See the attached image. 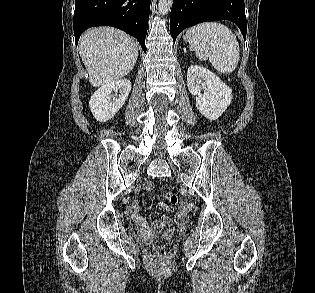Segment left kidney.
<instances>
[{"label":"left kidney","mask_w":315,"mask_h":293,"mask_svg":"<svg viewBox=\"0 0 315 293\" xmlns=\"http://www.w3.org/2000/svg\"><path fill=\"white\" fill-rule=\"evenodd\" d=\"M187 86L190 93L196 96L197 109L209 120L218 119L232 101V90L204 67L192 65L188 68Z\"/></svg>","instance_id":"obj_1"}]
</instances>
